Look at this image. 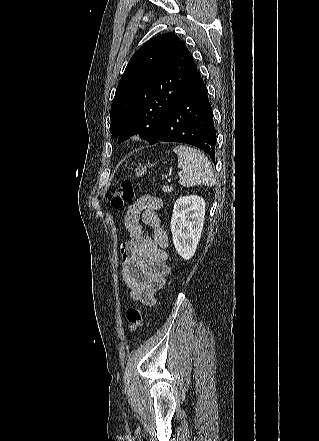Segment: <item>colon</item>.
Instances as JSON below:
<instances>
[{"label": "colon", "instance_id": "obj_1", "mask_svg": "<svg viewBox=\"0 0 319 441\" xmlns=\"http://www.w3.org/2000/svg\"><path fill=\"white\" fill-rule=\"evenodd\" d=\"M134 186L129 180L122 184L111 193L110 204L114 210H120L125 204L134 199ZM128 327L131 334H136L143 325L142 309L138 306L130 307L126 312Z\"/></svg>", "mask_w": 319, "mask_h": 441}]
</instances>
